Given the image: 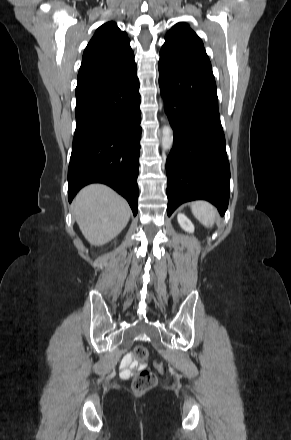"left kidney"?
Instances as JSON below:
<instances>
[{
	"label": "left kidney",
	"instance_id": "obj_1",
	"mask_svg": "<svg viewBox=\"0 0 291 440\" xmlns=\"http://www.w3.org/2000/svg\"><path fill=\"white\" fill-rule=\"evenodd\" d=\"M177 220L179 225L181 226V228L189 233H193L194 232V225L193 223L182 213H179L177 215Z\"/></svg>",
	"mask_w": 291,
	"mask_h": 440
}]
</instances>
